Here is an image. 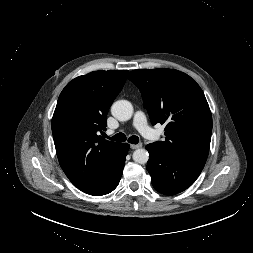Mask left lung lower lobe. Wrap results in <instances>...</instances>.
Instances as JSON below:
<instances>
[{
  "mask_svg": "<svg viewBox=\"0 0 253 253\" xmlns=\"http://www.w3.org/2000/svg\"><path fill=\"white\" fill-rule=\"evenodd\" d=\"M150 157L147 170L153 187L165 195H175L190 187L202 169L175 159L154 142L146 146Z\"/></svg>",
  "mask_w": 253,
  "mask_h": 253,
  "instance_id": "obj_1",
  "label": "left lung lower lobe"
}]
</instances>
